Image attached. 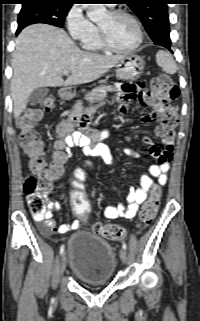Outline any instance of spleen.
I'll use <instances>...</instances> for the list:
<instances>
[{
  "mask_svg": "<svg viewBox=\"0 0 200 321\" xmlns=\"http://www.w3.org/2000/svg\"><path fill=\"white\" fill-rule=\"evenodd\" d=\"M156 62L157 65L167 74L172 75L177 72V64L172 55L167 51L159 50L156 53Z\"/></svg>",
  "mask_w": 200,
  "mask_h": 321,
  "instance_id": "3e777b00",
  "label": "spleen"
}]
</instances>
